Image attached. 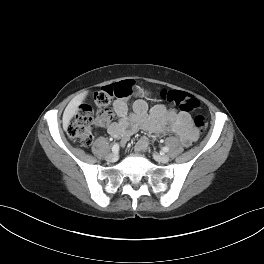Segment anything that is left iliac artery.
I'll return each mask as SVG.
<instances>
[{
  "label": "left iliac artery",
  "mask_w": 264,
  "mask_h": 264,
  "mask_svg": "<svg viewBox=\"0 0 264 264\" xmlns=\"http://www.w3.org/2000/svg\"><path fill=\"white\" fill-rule=\"evenodd\" d=\"M169 151V148L168 147H163L162 148V152H168Z\"/></svg>",
  "instance_id": "left-iliac-artery-1"
}]
</instances>
